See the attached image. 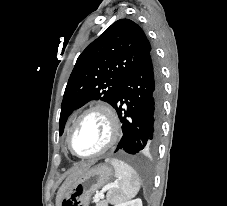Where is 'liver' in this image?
<instances>
[{"label":"liver","instance_id":"1","mask_svg":"<svg viewBox=\"0 0 227 206\" xmlns=\"http://www.w3.org/2000/svg\"><path fill=\"white\" fill-rule=\"evenodd\" d=\"M91 165H92V163L83 164L80 167L75 168L69 174V176L67 177L65 182L62 184V186L60 187V189L57 193L56 203L58 206H59L61 200L63 199V197L68 193L71 186L78 179V177H80L84 172H86L91 167Z\"/></svg>","mask_w":227,"mask_h":206}]
</instances>
